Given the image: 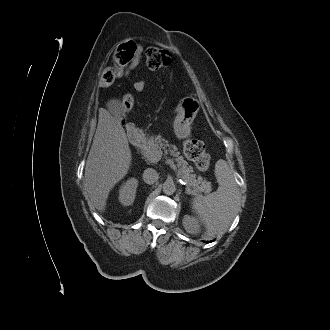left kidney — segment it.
Wrapping results in <instances>:
<instances>
[{"instance_id":"5707ae66","label":"left kidney","mask_w":330,"mask_h":330,"mask_svg":"<svg viewBox=\"0 0 330 330\" xmlns=\"http://www.w3.org/2000/svg\"><path fill=\"white\" fill-rule=\"evenodd\" d=\"M183 226L185 228V230L190 233V234H197L200 231V225L197 221L196 218L189 216V215H185L183 218Z\"/></svg>"}]
</instances>
